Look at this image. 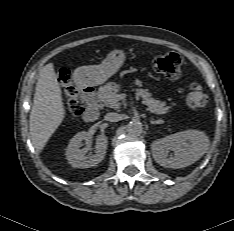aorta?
I'll use <instances>...</instances> for the list:
<instances>
[{"mask_svg":"<svg viewBox=\"0 0 234 231\" xmlns=\"http://www.w3.org/2000/svg\"><path fill=\"white\" fill-rule=\"evenodd\" d=\"M142 124L140 121H131L127 125V132L130 136L136 137L142 133Z\"/></svg>","mask_w":234,"mask_h":231,"instance_id":"aorta-1","label":"aorta"}]
</instances>
